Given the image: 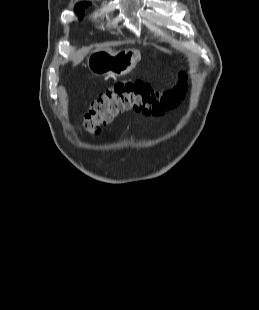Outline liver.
Returning <instances> with one entry per match:
<instances>
[{
    "label": "liver",
    "mask_w": 259,
    "mask_h": 310,
    "mask_svg": "<svg viewBox=\"0 0 259 310\" xmlns=\"http://www.w3.org/2000/svg\"><path fill=\"white\" fill-rule=\"evenodd\" d=\"M87 52H88V49H85V48L79 50V51L77 52L76 56L73 58V65H74V66L78 65V64L82 61L84 55H85Z\"/></svg>",
    "instance_id": "obj_1"
}]
</instances>
